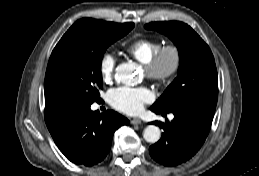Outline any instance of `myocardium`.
I'll return each mask as SVG.
<instances>
[{
  "instance_id": "obj_1",
  "label": "myocardium",
  "mask_w": 259,
  "mask_h": 176,
  "mask_svg": "<svg viewBox=\"0 0 259 176\" xmlns=\"http://www.w3.org/2000/svg\"><path fill=\"white\" fill-rule=\"evenodd\" d=\"M182 65V53L178 45H162L153 57L144 64L146 76L161 85L171 83Z\"/></svg>"
}]
</instances>
